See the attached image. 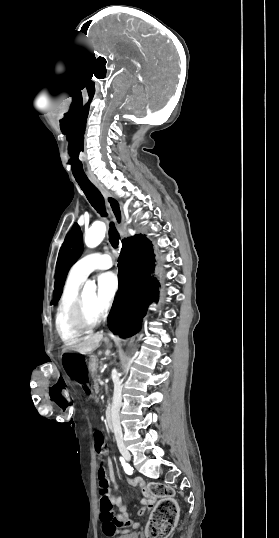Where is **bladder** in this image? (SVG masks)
Returning a JSON list of instances; mask_svg holds the SVG:
<instances>
[{
  "mask_svg": "<svg viewBox=\"0 0 279 538\" xmlns=\"http://www.w3.org/2000/svg\"><path fill=\"white\" fill-rule=\"evenodd\" d=\"M119 538H137V534L136 532H131V534L129 532H121Z\"/></svg>",
  "mask_w": 279,
  "mask_h": 538,
  "instance_id": "31cf9c89",
  "label": "bladder"
}]
</instances>
